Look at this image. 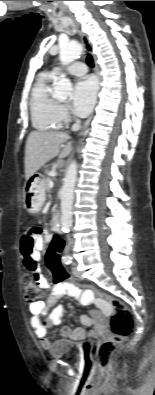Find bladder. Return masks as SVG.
I'll use <instances>...</instances> for the list:
<instances>
[{
    "mask_svg": "<svg viewBox=\"0 0 155 395\" xmlns=\"http://www.w3.org/2000/svg\"><path fill=\"white\" fill-rule=\"evenodd\" d=\"M51 356L65 358L69 361L79 362L84 356L83 346L68 339L56 340L50 348Z\"/></svg>",
    "mask_w": 155,
    "mask_h": 395,
    "instance_id": "31cf9c89",
    "label": "bladder"
}]
</instances>
